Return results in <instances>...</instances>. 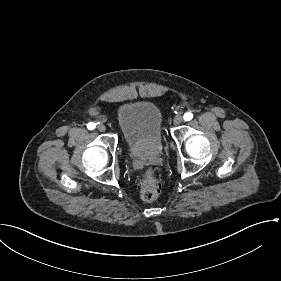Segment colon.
<instances>
[{
    "label": "colon",
    "instance_id": "obj_1",
    "mask_svg": "<svg viewBox=\"0 0 281 281\" xmlns=\"http://www.w3.org/2000/svg\"><path fill=\"white\" fill-rule=\"evenodd\" d=\"M161 190V183L155 172L151 169L146 170L141 182V195L144 200L157 198Z\"/></svg>",
    "mask_w": 281,
    "mask_h": 281
}]
</instances>
